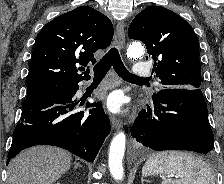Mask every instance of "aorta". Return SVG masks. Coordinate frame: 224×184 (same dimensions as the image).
<instances>
[{
    "mask_svg": "<svg viewBox=\"0 0 224 184\" xmlns=\"http://www.w3.org/2000/svg\"><path fill=\"white\" fill-rule=\"evenodd\" d=\"M144 53V47L139 42H132L127 49V57L137 59ZM126 137L124 132H119L110 144L109 150V169L113 178L121 181L124 177L122 160L125 152Z\"/></svg>",
    "mask_w": 224,
    "mask_h": 184,
    "instance_id": "aorta-1",
    "label": "aorta"
}]
</instances>
